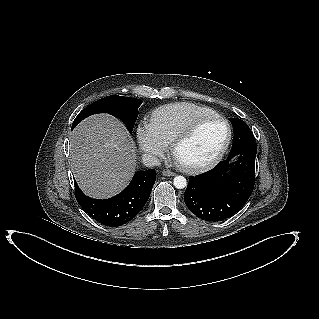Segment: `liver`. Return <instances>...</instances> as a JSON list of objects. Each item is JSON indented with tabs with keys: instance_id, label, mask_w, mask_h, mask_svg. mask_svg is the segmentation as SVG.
Here are the masks:
<instances>
[{
	"instance_id": "liver-1",
	"label": "liver",
	"mask_w": 319,
	"mask_h": 319,
	"mask_svg": "<svg viewBox=\"0 0 319 319\" xmlns=\"http://www.w3.org/2000/svg\"><path fill=\"white\" fill-rule=\"evenodd\" d=\"M70 162L76 182L87 196L110 198L134 175L135 142L117 118L92 115L70 133Z\"/></svg>"
}]
</instances>
